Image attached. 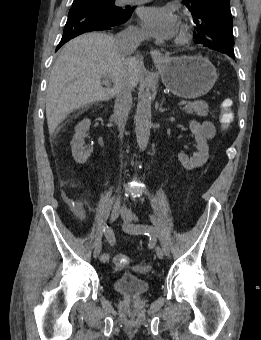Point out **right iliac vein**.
Segmentation results:
<instances>
[{"instance_id": "obj_1", "label": "right iliac vein", "mask_w": 261, "mask_h": 340, "mask_svg": "<svg viewBox=\"0 0 261 340\" xmlns=\"http://www.w3.org/2000/svg\"><path fill=\"white\" fill-rule=\"evenodd\" d=\"M120 212H121L120 204L114 203V205L111 208V214H110V219L112 222L115 221L119 217ZM101 251H102V245L98 244L92 252V257L94 260L100 256Z\"/></svg>"}]
</instances>
